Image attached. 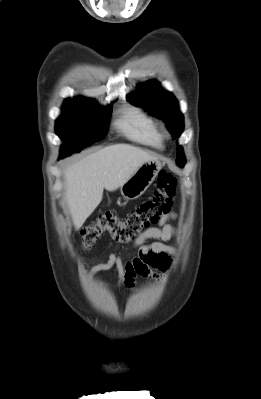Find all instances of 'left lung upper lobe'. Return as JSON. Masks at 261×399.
<instances>
[{"label": "left lung upper lobe", "instance_id": "obj_1", "mask_svg": "<svg viewBox=\"0 0 261 399\" xmlns=\"http://www.w3.org/2000/svg\"><path fill=\"white\" fill-rule=\"evenodd\" d=\"M127 99L130 103L142 106L150 114L165 121L174 138L179 137L182 133L183 115L179 111L178 102L171 93L161 89L157 81L146 82L136 93L130 94ZM185 162L183 149L178 146L176 163L183 167Z\"/></svg>", "mask_w": 261, "mask_h": 399}]
</instances>
